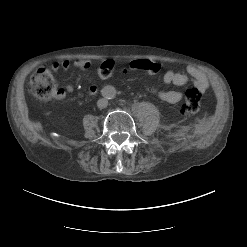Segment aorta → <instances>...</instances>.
<instances>
[{
  "instance_id": "762f6f07",
  "label": "aorta",
  "mask_w": 247,
  "mask_h": 247,
  "mask_svg": "<svg viewBox=\"0 0 247 247\" xmlns=\"http://www.w3.org/2000/svg\"><path fill=\"white\" fill-rule=\"evenodd\" d=\"M103 94L107 99H113L116 96V89L113 86H106L103 90Z\"/></svg>"
}]
</instances>
